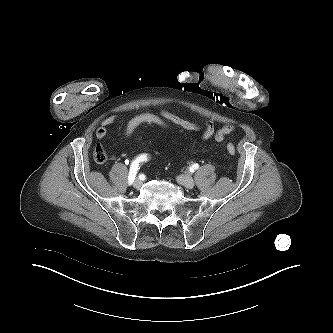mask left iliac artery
I'll return each mask as SVG.
<instances>
[{
  "mask_svg": "<svg viewBox=\"0 0 333 333\" xmlns=\"http://www.w3.org/2000/svg\"><path fill=\"white\" fill-rule=\"evenodd\" d=\"M198 168H199V165H198L197 163H194V164L190 167L191 170H196V169H198Z\"/></svg>",
  "mask_w": 333,
  "mask_h": 333,
  "instance_id": "obj_1",
  "label": "left iliac artery"
}]
</instances>
